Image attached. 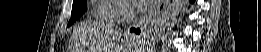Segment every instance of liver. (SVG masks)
<instances>
[{"mask_svg":"<svg viewBox=\"0 0 261 52\" xmlns=\"http://www.w3.org/2000/svg\"><path fill=\"white\" fill-rule=\"evenodd\" d=\"M84 29L85 36H88V42L86 45L89 52H107L102 51L107 50V44L111 43L112 40H119L122 36L120 29L109 24H105L104 22L89 23L84 27Z\"/></svg>","mask_w":261,"mask_h":52,"instance_id":"obj_1","label":"liver"}]
</instances>
